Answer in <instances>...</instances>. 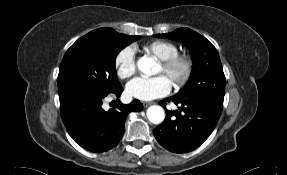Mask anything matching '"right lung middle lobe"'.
<instances>
[{"mask_svg":"<svg viewBox=\"0 0 287 175\" xmlns=\"http://www.w3.org/2000/svg\"><path fill=\"white\" fill-rule=\"evenodd\" d=\"M139 36L99 28L78 39L66 52L59 69V97L72 92L110 94L122 85L117 79L118 53Z\"/></svg>","mask_w":287,"mask_h":175,"instance_id":"dd1d6c3e","label":"right lung middle lobe"}]
</instances>
